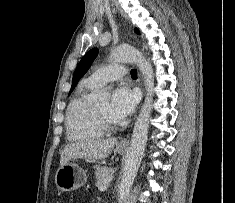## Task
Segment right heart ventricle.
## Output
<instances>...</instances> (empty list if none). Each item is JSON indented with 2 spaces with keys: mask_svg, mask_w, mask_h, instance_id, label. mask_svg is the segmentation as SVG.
Segmentation results:
<instances>
[{
  "mask_svg": "<svg viewBox=\"0 0 235 203\" xmlns=\"http://www.w3.org/2000/svg\"><path fill=\"white\" fill-rule=\"evenodd\" d=\"M97 87L86 80L81 83L71 100L66 115L67 137L71 141H86L103 136L90 94Z\"/></svg>",
  "mask_w": 235,
  "mask_h": 203,
  "instance_id": "1",
  "label": "right heart ventricle"
}]
</instances>
